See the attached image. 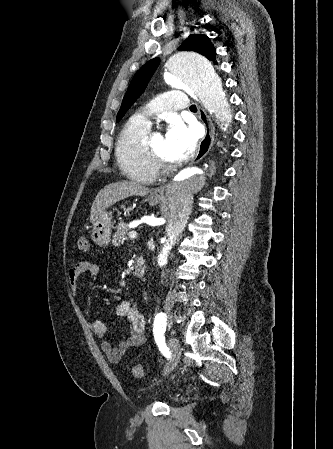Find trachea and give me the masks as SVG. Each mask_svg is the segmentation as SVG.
<instances>
[{
	"instance_id": "1",
	"label": "trachea",
	"mask_w": 333,
	"mask_h": 449,
	"mask_svg": "<svg viewBox=\"0 0 333 449\" xmlns=\"http://www.w3.org/2000/svg\"><path fill=\"white\" fill-rule=\"evenodd\" d=\"M190 110H191V111H196V110H197V108H196V106H195V105H192V106H190Z\"/></svg>"
}]
</instances>
